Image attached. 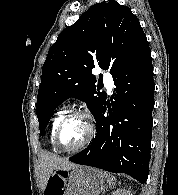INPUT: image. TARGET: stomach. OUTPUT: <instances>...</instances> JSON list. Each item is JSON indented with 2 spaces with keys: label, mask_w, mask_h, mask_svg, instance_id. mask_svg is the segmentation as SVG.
<instances>
[{
  "label": "stomach",
  "mask_w": 178,
  "mask_h": 195,
  "mask_svg": "<svg viewBox=\"0 0 178 195\" xmlns=\"http://www.w3.org/2000/svg\"><path fill=\"white\" fill-rule=\"evenodd\" d=\"M105 178V173L97 168L77 165L70 170H54L47 184L55 183L56 195H99L105 189Z\"/></svg>",
  "instance_id": "stomach-1"
}]
</instances>
